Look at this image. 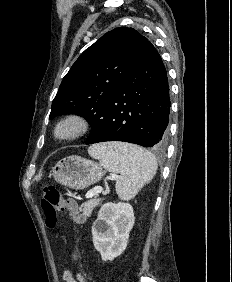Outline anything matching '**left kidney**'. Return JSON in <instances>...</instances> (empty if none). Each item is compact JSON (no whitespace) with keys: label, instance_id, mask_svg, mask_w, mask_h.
Wrapping results in <instances>:
<instances>
[{"label":"left kidney","instance_id":"5707ae66","mask_svg":"<svg viewBox=\"0 0 232 282\" xmlns=\"http://www.w3.org/2000/svg\"><path fill=\"white\" fill-rule=\"evenodd\" d=\"M133 208L128 203H105L92 226L93 244L102 260H114L127 247L134 225Z\"/></svg>","mask_w":232,"mask_h":282}]
</instances>
